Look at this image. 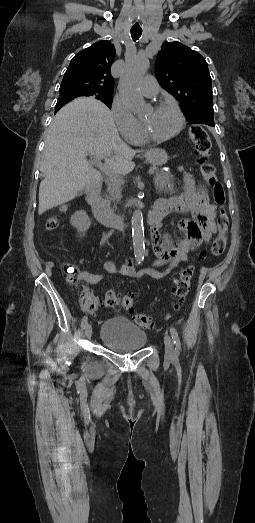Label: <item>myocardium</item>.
I'll use <instances>...</instances> for the list:
<instances>
[{"mask_svg":"<svg viewBox=\"0 0 255 523\" xmlns=\"http://www.w3.org/2000/svg\"><path fill=\"white\" fill-rule=\"evenodd\" d=\"M163 106H170L177 113V116H178V119H179V123H178V126H177L176 130L174 132H172L171 134L167 135V136H161V137L152 136V135H150L148 133V131L145 128V126L142 123V121H140V136H141V139L143 141H146V142H156V143L168 141V140H171L174 137H176L181 132V130L183 129L184 124H185V118H184V114L181 111L180 107L176 103H174L172 101L165 100V101H161V102H158L155 105H153L152 109L157 110V109H159V108H161Z\"/></svg>","mask_w":255,"mask_h":523,"instance_id":"myocardium-1","label":"myocardium"}]
</instances>
